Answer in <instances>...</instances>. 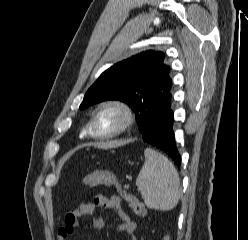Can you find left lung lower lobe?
Segmentation results:
<instances>
[{"label": "left lung lower lobe", "mask_w": 248, "mask_h": 240, "mask_svg": "<svg viewBox=\"0 0 248 240\" xmlns=\"http://www.w3.org/2000/svg\"><path fill=\"white\" fill-rule=\"evenodd\" d=\"M173 123V111L171 110V104H168L152 118L147 129L142 133V138L147 144L169 155L180 168L181 156L176 147Z\"/></svg>", "instance_id": "obj_1"}]
</instances>
